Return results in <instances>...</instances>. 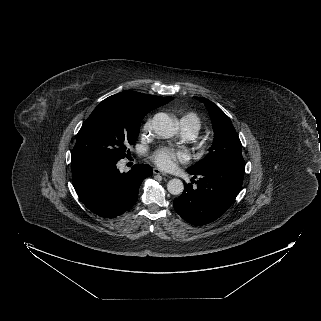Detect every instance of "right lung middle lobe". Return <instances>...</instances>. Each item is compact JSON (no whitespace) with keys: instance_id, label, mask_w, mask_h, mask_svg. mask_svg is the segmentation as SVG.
Returning <instances> with one entry per match:
<instances>
[{"instance_id":"obj_1","label":"right lung middle lobe","mask_w":321,"mask_h":321,"mask_svg":"<svg viewBox=\"0 0 321 321\" xmlns=\"http://www.w3.org/2000/svg\"><path fill=\"white\" fill-rule=\"evenodd\" d=\"M145 115L123 102L103 100L79 130L71 162L117 163L135 144Z\"/></svg>"}]
</instances>
